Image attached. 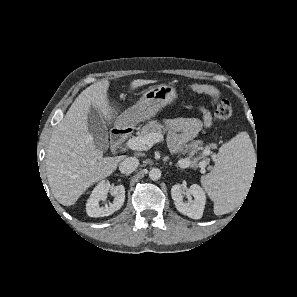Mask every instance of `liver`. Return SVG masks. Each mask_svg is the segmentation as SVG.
Listing matches in <instances>:
<instances>
[{"label":"liver","mask_w":297,"mask_h":297,"mask_svg":"<svg viewBox=\"0 0 297 297\" xmlns=\"http://www.w3.org/2000/svg\"><path fill=\"white\" fill-rule=\"evenodd\" d=\"M153 82L136 79L131 82L130 88L135 90ZM109 85L108 80L100 81L82 91L52 132L46 155V171L53 196L64 206L75 204L90 186L109 176L123 159V156L103 157V152L94 144L88 131L91 106L99 109L108 125L113 123L115 127L118 126L122 115L114 108L113 104L117 102L110 104Z\"/></svg>","instance_id":"obj_1"}]
</instances>
